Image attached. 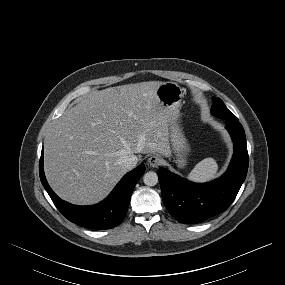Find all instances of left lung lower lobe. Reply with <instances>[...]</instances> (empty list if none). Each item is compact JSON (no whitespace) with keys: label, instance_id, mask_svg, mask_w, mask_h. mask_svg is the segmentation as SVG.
<instances>
[{"label":"left lung lower lobe","instance_id":"obj_1","mask_svg":"<svg viewBox=\"0 0 285 285\" xmlns=\"http://www.w3.org/2000/svg\"><path fill=\"white\" fill-rule=\"evenodd\" d=\"M226 129L234 143V154L219 179L196 184L165 168L158 170L164 204L181 223H200L225 211L246 178L249 159L244 129L239 122L232 121H227Z\"/></svg>","mask_w":285,"mask_h":285}]
</instances>
